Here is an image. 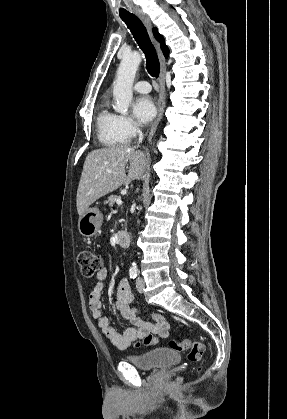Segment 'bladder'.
<instances>
[{"label":"bladder","instance_id":"bladder-1","mask_svg":"<svg viewBox=\"0 0 287 419\" xmlns=\"http://www.w3.org/2000/svg\"><path fill=\"white\" fill-rule=\"evenodd\" d=\"M128 361L144 370H163L180 361V357L171 349L156 348L141 355L129 356Z\"/></svg>","mask_w":287,"mask_h":419}]
</instances>
